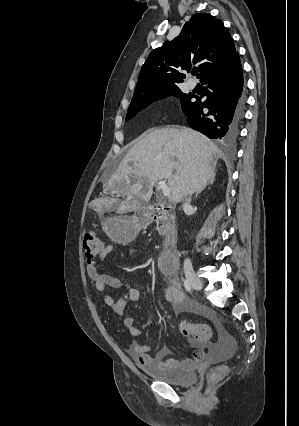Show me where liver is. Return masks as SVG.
<instances>
[{
    "mask_svg": "<svg viewBox=\"0 0 299 426\" xmlns=\"http://www.w3.org/2000/svg\"><path fill=\"white\" fill-rule=\"evenodd\" d=\"M217 146L190 128H160L134 144L104 185V192L125 200L101 199L107 209L124 214L147 204L158 181L167 180L171 199L179 203L205 188L215 176Z\"/></svg>",
    "mask_w": 299,
    "mask_h": 426,
    "instance_id": "6515ba94",
    "label": "liver"
}]
</instances>
